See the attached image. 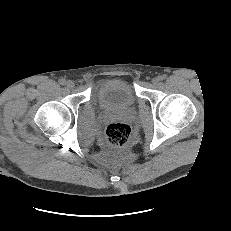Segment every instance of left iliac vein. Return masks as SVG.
I'll list each match as a JSON object with an SVG mask.
<instances>
[{"label":"left iliac vein","mask_w":231,"mask_h":231,"mask_svg":"<svg viewBox=\"0 0 231 231\" xmlns=\"http://www.w3.org/2000/svg\"><path fill=\"white\" fill-rule=\"evenodd\" d=\"M159 81H160V78L155 77V78L152 79V84L156 85V84H158Z\"/></svg>","instance_id":"obj_1"}]
</instances>
